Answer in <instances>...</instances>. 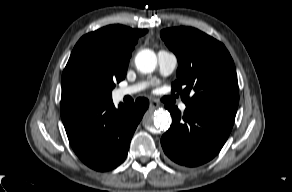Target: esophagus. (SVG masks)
Here are the masks:
<instances>
[{"label": "esophagus", "mask_w": 292, "mask_h": 192, "mask_svg": "<svg viewBox=\"0 0 292 192\" xmlns=\"http://www.w3.org/2000/svg\"><path fill=\"white\" fill-rule=\"evenodd\" d=\"M149 107H150L151 109H155V108L159 107V103H158L156 100H152V101L150 102Z\"/></svg>", "instance_id": "34e87169"}]
</instances>
